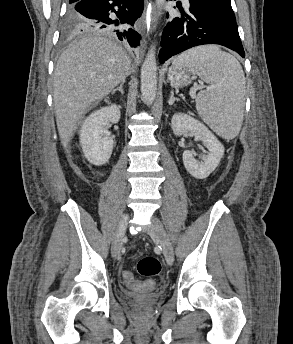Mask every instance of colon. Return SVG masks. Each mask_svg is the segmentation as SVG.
<instances>
[{"label": "colon", "instance_id": "obj_1", "mask_svg": "<svg viewBox=\"0 0 293 344\" xmlns=\"http://www.w3.org/2000/svg\"><path fill=\"white\" fill-rule=\"evenodd\" d=\"M138 273L144 277H154L160 274L162 270L161 262L155 257H145L137 264ZM123 277L129 286H137V283L130 271H124ZM143 290L153 289L155 283L152 280H147L141 283Z\"/></svg>", "mask_w": 293, "mask_h": 344}]
</instances>
